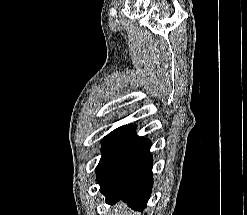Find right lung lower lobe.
Returning a JSON list of instances; mask_svg holds the SVG:
<instances>
[{
    "label": "right lung lower lobe",
    "instance_id": "right-lung-lower-lobe-1",
    "mask_svg": "<svg viewBox=\"0 0 247 215\" xmlns=\"http://www.w3.org/2000/svg\"><path fill=\"white\" fill-rule=\"evenodd\" d=\"M134 132V125L124 126L102 140V157L96 173L106 202L122 199L133 209L142 211L153 183L151 142Z\"/></svg>",
    "mask_w": 247,
    "mask_h": 215
}]
</instances>
